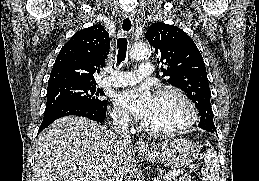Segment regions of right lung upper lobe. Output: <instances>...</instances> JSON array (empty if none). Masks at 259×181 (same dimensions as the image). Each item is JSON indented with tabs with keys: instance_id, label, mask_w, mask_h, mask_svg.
Listing matches in <instances>:
<instances>
[{
	"instance_id": "obj_1",
	"label": "right lung upper lobe",
	"mask_w": 259,
	"mask_h": 181,
	"mask_svg": "<svg viewBox=\"0 0 259 181\" xmlns=\"http://www.w3.org/2000/svg\"><path fill=\"white\" fill-rule=\"evenodd\" d=\"M110 39L102 25L75 33L60 50L48 86L61 83L96 84L93 74L105 66Z\"/></svg>"
}]
</instances>
